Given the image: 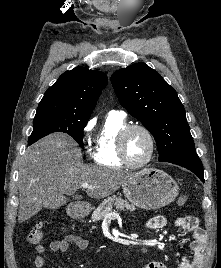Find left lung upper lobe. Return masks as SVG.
<instances>
[{"label":"left lung upper lobe","instance_id":"left-lung-upper-lobe-1","mask_svg":"<svg viewBox=\"0 0 221 268\" xmlns=\"http://www.w3.org/2000/svg\"><path fill=\"white\" fill-rule=\"evenodd\" d=\"M111 82L120 104L153 135L159 161L195 152L184 106L158 72L140 62L117 70Z\"/></svg>","mask_w":221,"mask_h":268}]
</instances>
